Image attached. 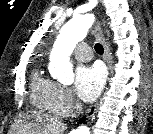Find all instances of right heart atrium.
<instances>
[{"label": "right heart atrium", "mask_w": 153, "mask_h": 134, "mask_svg": "<svg viewBox=\"0 0 153 134\" xmlns=\"http://www.w3.org/2000/svg\"><path fill=\"white\" fill-rule=\"evenodd\" d=\"M51 110L61 116H68L76 108V101L66 86L53 82L51 95Z\"/></svg>", "instance_id": "1"}]
</instances>
